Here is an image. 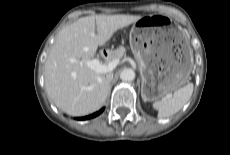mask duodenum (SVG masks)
Masks as SVG:
<instances>
[{
  "label": "duodenum",
  "instance_id": "obj_1",
  "mask_svg": "<svg viewBox=\"0 0 230 155\" xmlns=\"http://www.w3.org/2000/svg\"><path fill=\"white\" fill-rule=\"evenodd\" d=\"M100 57H101L102 59H107V58H108V51L102 50V51L100 52Z\"/></svg>",
  "mask_w": 230,
  "mask_h": 155
}]
</instances>
